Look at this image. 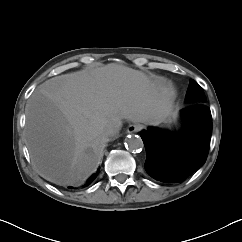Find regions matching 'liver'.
<instances>
[{
	"instance_id": "obj_1",
	"label": "liver",
	"mask_w": 242,
	"mask_h": 242,
	"mask_svg": "<svg viewBox=\"0 0 242 242\" xmlns=\"http://www.w3.org/2000/svg\"><path fill=\"white\" fill-rule=\"evenodd\" d=\"M174 94L163 81L111 63L56 76L26 105V144L38 173L77 185L94 173L109 140L108 125L122 120L157 125L174 115Z\"/></svg>"
}]
</instances>
